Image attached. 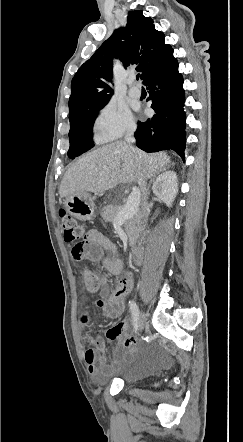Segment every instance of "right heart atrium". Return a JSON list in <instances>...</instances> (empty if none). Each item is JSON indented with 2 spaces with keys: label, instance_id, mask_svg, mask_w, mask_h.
I'll use <instances>...</instances> for the list:
<instances>
[{
  "label": "right heart atrium",
  "instance_id": "d8ad5b80",
  "mask_svg": "<svg viewBox=\"0 0 243 442\" xmlns=\"http://www.w3.org/2000/svg\"><path fill=\"white\" fill-rule=\"evenodd\" d=\"M136 129V122L131 111L124 105L110 101L98 112L94 121V132L100 141L112 142Z\"/></svg>",
  "mask_w": 243,
  "mask_h": 442
}]
</instances>
